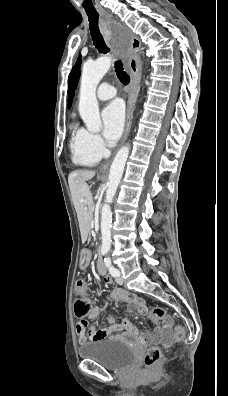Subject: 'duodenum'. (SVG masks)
Returning a JSON list of instances; mask_svg holds the SVG:
<instances>
[{
  "label": "duodenum",
  "instance_id": "obj_1",
  "mask_svg": "<svg viewBox=\"0 0 228 396\" xmlns=\"http://www.w3.org/2000/svg\"><path fill=\"white\" fill-rule=\"evenodd\" d=\"M97 269L99 273L105 275L106 274V265L102 258H98L97 260Z\"/></svg>",
  "mask_w": 228,
  "mask_h": 396
}]
</instances>
